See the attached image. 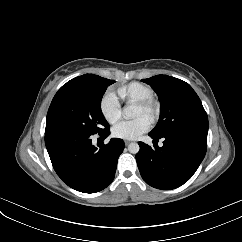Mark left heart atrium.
Wrapping results in <instances>:
<instances>
[{
	"mask_svg": "<svg viewBox=\"0 0 242 242\" xmlns=\"http://www.w3.org/2000/svg\"><path fill=\"white\" fill-rule=\"evenodd\" d=\"M151 127V121L148 117L140 116L134 120L122 121L116 124L112 133L115 137L126 140H135Z\"/></svg>",
	"mask_w": 242,
	"mask_h": 242,
	"instance_id": "1",
	"label": "left heart atrium"
}]
</instances>
